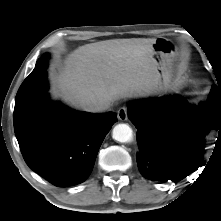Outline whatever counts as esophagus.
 I'll use <instances>...</instances> for the list:
<instances>
[{"instance_id":"esophagus-1","label":"esophagus","mask_w":221,"mask_h":221,"mask_svg":"<svg viewBox=\"0 0 221 221\" xmlns=\"http://www.w3.org/2000/svg\"><path fill=\"white\" fill-rule=\"evenodd\" d=\"M117 117L121 121H126L128 118L127 107L125 106L120 107L119 110L117 111Z\"/></svg>"}]
</instances>
